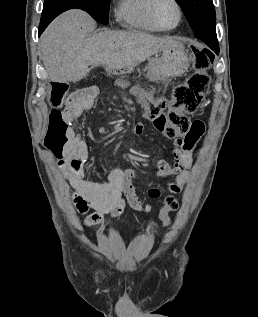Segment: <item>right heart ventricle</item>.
Instances as JSON below:
<instances>
[{
	"instance_id": "1",
	"label": "right heart ventricle",
	"mask_w": 258,
	"mask_h": 317,
	"mask_svg": "<svg viewBox=\"0 0 258 317\" xmlns=\"http://www.w3.org/2000/svg\"><path fill=\"white\" fill-rule=\"evenodd\" d=\"M154 0H121L116 11V20L124 28L144 33L159 30L149 17V9Z\"/></svg>"
}]
</instances>
